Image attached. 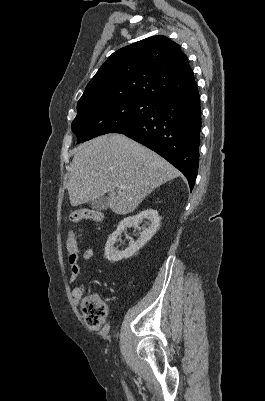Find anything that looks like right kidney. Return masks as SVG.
<instances>
[{"label": "right kidney", "mask_w": 265, "mask_h": 401, "mask_svg": "<svg viewBox=\"0 0 265 401\" xmlns=\"http://www.w3.org/2000/svg\"><path fill=\"white\" fill-rule=\"evenodd\" d=\"M143 219H148L150 221V225L148 229H143L138 241H130L129 247L125 249V251H117L114 249V243L117 241V237L123 233L126 227H134V225H138L140 221ZM160 227V217L157 211L154 209H147V211H142L139 215H135V217H126L121 221L120 225H118L116 231L110 235L106 245H105V257L111 263H116V261H122V259H129L132 257L134 253H137L139 249L144 247L147 241H150L151 237L155 235L157 229Z\"/></svg>", "instance_id": "right-kidney-1"}]
</instances>
